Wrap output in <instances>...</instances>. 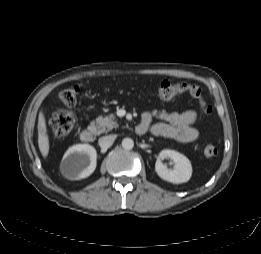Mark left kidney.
I'll use <instances>...</instances> for the list:
<instances>
[{"label": "left kidney", "mask_w": 261, "mask_h": 254, "mask_svg": "<svg viewBox=\"0 0 261 254\" xmlns=\"http://www.w3.org/2000/svg\"><path fill=\"white\" fill-rule=\"evenodd\" d=\"M171 159L174 161L172 170L168 169L161 159ZM155 171L158 176L171 183L180 184L189 181L192 175V166L189 159L183 154L174 150H163L155 164Z\"/></svg>", "instance_id": "1"}]
</instances>
